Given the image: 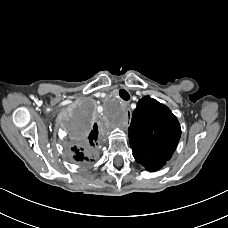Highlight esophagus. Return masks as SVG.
<instances>
[{
	"mask_svg": "<svg viewBox=\"0 0 228 228\" xmlns=\"http://www.w3.org/2000/svg\"><path fill=\"white\" fill-rule=\"evenodd\" d=\"M123 107L126 108V109H128L127 108V103H123Z\"/></svg>",
	"mask_w": 228,
	"mask_h": 228,
	"instance_id": "esophagus-1",
	"label": "esophagus"
}]
</instances>
